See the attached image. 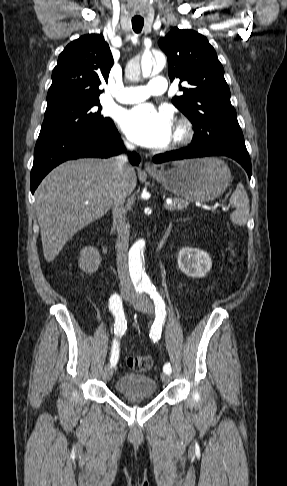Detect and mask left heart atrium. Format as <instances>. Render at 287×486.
I'll list each match as a JSON object with an SVG mask.
<instances>
[{
    "label": "left heart atrium",
    "mask_w": 287,
    "mask_h": 486,
    "mask_svg": "<svg viewBox=\"0 0 287 486\" xmlns=\"http://www.w3.org/2000/svg\"><path fill=\"white\" fill-rule=\"evenodd\" d=\"M119 123L131 141L148 148L164 147L172 138L171 115L158 111L151 104H140L124 111Z\"/></svg>",
    "instance_id": "1"
}]
</instances>
